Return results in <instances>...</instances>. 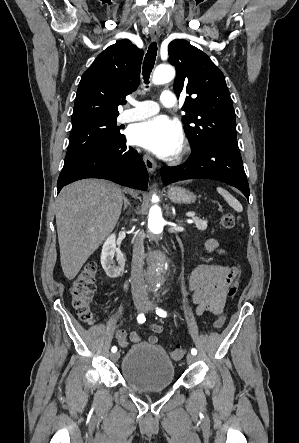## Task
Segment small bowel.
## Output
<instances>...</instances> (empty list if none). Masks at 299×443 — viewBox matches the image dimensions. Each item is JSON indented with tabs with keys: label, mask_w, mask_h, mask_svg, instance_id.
<instances>
[{
	"label": "small bowel",
	"mask_w": 299,
	"mask_h": 443,
	"mask_svg": "<svg viewBox=\"0 0 299 443\" xmlns=\"http://www.w3.org/2000/svg\"><path fill=\"white\" fill-rule=\"evenodd\" d=\"M205 249L209 253L226 255L225 250L220 248L217 240L211 238L205 243ZM236 269L228 265L202 264L196 267L188 277V286L192 292V301L197 315L203 313L220 314L225 305L228 286L235 278ZM150 329L154 334L148 338V343L156 345L159 342L158 333L164 330L161 324H151ZM116 340L120 347L127 348L131 343H141L142 337L131 332L129 335L123 329L116 332Z\"/></svg>",
	"instance_id": "1"
}]
</instances>
